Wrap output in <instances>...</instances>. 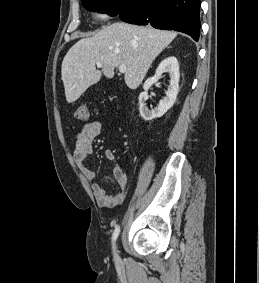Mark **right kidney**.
<instances>
[{
    "instance_id": "1",
    "label": "right kidney",
    "mask_w": 259,
    "mask_h": 283,
    "mask_svg": "<svg viewBox=\"0 0 259 283\" xmlns=\"http://www.w3.org/2000/svg\"><path fill=\"white\" fill-rule=\"evenodd\" d=\"M163 73H168L170 76V85L168 87L166 97L160 101L157 107L150 110L146 105V100L148 99V89L158 81ZM179 78V64L176 57L170 56L159 64L154 76L145 81L143 86L144 92L139 95V111L144 120L150 121L161 117L174 105L179 91Z\"/></svg>"
}]
</instances>
